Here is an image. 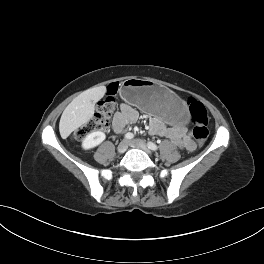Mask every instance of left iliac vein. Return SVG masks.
Returning <instances> with one entry per match:
<instances>
[{"label":"left iliac vein","mask_w":264,"mask_h":264,"mask_svg":"<svg viewBox=\"0 0 264 264\" xmlns=\"http://www.w3.org/2000/svg\"><path fill=\"white\" fill-rule=\"evenodd\" d=\"M129 145L133 148L141 149L145 151L147 154H151V151L148 149L146 143L142 140H139V139L131 140L129 142Z\"/></svg>","instance_id":"4c4485c4"}]
</instances>
